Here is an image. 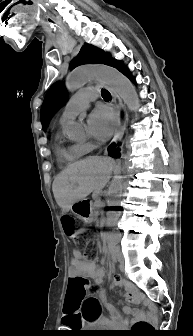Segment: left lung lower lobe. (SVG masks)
Instances as JSON below:
<instances>
[{
  "label": "left lung lower lobe",
  "instance_id": "1",
  "mask_svg": "<svg viewBox=\"0 0 193 336\" xmlns=\"http://www.w3.org/2000/svg\"><path fill=\"white\" fill-rule=\"evenodd\" d=\"M111 66L115 67L117 70H119L125 76H127L129 79H131L132 81H134V79L132 78L130 72L128 71V69L125 67V65L122 62H120L118 60H114Z\"/></svg>",
  "mask_w": 193,
  "mask_h": 336
}]
</instances>
